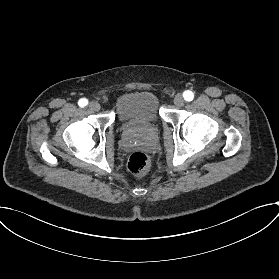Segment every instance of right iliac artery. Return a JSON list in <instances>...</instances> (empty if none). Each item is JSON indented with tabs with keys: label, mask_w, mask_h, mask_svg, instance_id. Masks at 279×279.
Instances as JSON below:
<instances>
[{
	"label": "right iliac artery",
	"mask_w": 279,
	"mask_h": 279,
	"mask_svg": "<svg viewBox=\"0 0 279 279\" xmlns=\"http://www.w3.org/2000/svg\"><path fill=\"white\" fill-rule=\"evenodd\" d=\"M88 104V100L86 98H82L78 101V105L80 107H85Z\"/></svg>",
	"instance_id": "1"
}]
</instances>
